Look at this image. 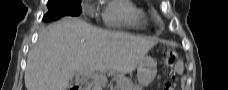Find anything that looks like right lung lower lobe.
<instances>
[{
  "label": "right lung lower lobe",
  "mask_w": 228,
  "mask_h": 90,
  "mask_svg": "<svg viewBox=\"0 0 228 90\" xmlns=\"http://www.w3.org/2000/svg\"><path fill=\"white\" fill-rule=\"evenodd\" d=\"M61 16H58V17H51L50 16V13L48 12L45 16H44V18H43V20L45 21V22H47V21H49V20H56V19H59Z\"/></svg>",
  "instance_id": "1"
}]
</instances>
